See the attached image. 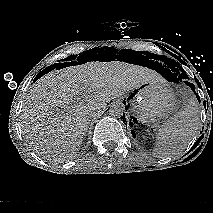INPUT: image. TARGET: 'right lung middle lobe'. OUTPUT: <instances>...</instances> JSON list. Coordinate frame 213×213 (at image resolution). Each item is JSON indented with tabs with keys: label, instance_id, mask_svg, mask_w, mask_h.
<instances>
[{
	"label": "right lung middle lobe",
	"instance_id": "obj_1",
	"mask_svg": "<svg viewBox=\"0 0 213 213\" xmlns=\"http://www.w3.org/2000/svg\"><path fill=\"white\" fill-rule=\"evenodd\" d=\"M75 57H76V56H72V58H71V56H70V57H68V58H66V59H70V58H71V59H74ZM71 59H70V60H71ZM66 61H68V60H66Z\"/></svg>",
	"mask_w": 213,
	"mask_h": 213
}]
</instances>
